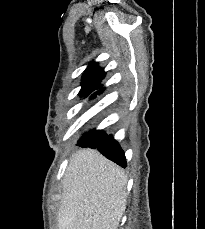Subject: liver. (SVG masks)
<instances>
[{
  "instance_id": "obj_1",
  "label": "liver",
  "mask_w": 205,
  "mask_h": 229,
  "mask_svg": "<svg viewBox=\"0 0 205 229\" xmlns=\"http://www.w3.org/2000/svg\"><path fill=\"white\" fill-rule=\"evenodd\" d=\"M127 177L98 151L72 154L63 180L58 229H117L125 212Z\"/></svg>"
}]
</instances>
